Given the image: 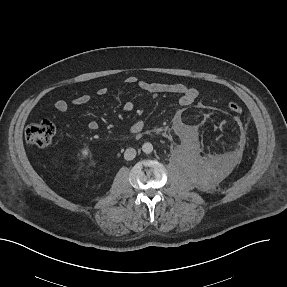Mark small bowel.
Wrapping results in <instances>:
<instances>
[{"label": "small bowel", "mask_w": 287, "mask_h": 287, "mask_svg": "<svg viewBox=\"0 0 287 287\" xmlns=\"http://www.w3.org/2000/svg\"><path fill=\"white\" fill-rule=\"evenodd\" d=\"M125 82L127 84L137 85L141 90L149 93L177 95L179 97L178 101L181 106H189L193 104L199 96V92L196 88L185 85L183 83L152 82L138 79L135 76L128 77ZM106 92L107 89L105 87H102L98 90V94L100 95H104ZM90 101L91 96L88 94H83L73 99L71 103L66 100H58L55 103V109L59 113H65L69 110L70 104L84 105ZM123 109L125 111H131L133 109V103L130 101L125 102ZM88 128L91 131H95L99 128V124L96 121H91L88 124ZM143 129L144 123L140 120L134 122L130 127V131L133 133H139Z\"/></svg>", "instance_id": "small-bowel-1"}]
</instances>
